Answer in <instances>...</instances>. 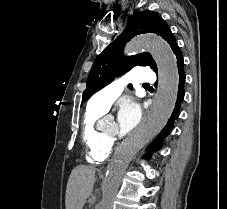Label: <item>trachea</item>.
I'll return each mask as SVG.
<instances>
[{
    "mask_svg": "<svg viewBox=\"0 0 227 209\" xmlns=\"http://www.w3.org/2000/svg\"><path fill=\"white\" fill-rule=\"evenodd\" d=\"M144 86H146V87H150V85H149V84H144Z\"/></svg>",
    "mask_w": 227,
    "mask_h": 209,
    "instance_id": "3493384b",
    "label": "trachea"
}]
</instances>
